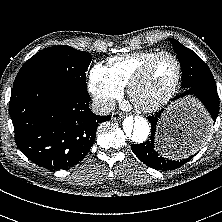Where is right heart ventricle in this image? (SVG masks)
Returning a JSON list of instances; mask_svg holds the SVG:
<instances>
[{
    "label": "right heart ventricle",
    "instance_id": "e07e8e85",
    "mask_svg": "<svg viewBox=\"0 0 222 222\" xmlns=\"http://www.w3.org/2000/svg\"><path fill=\"white\" fill-rule=\"evenodd\" d=\"M158 51L137 52L126 56L114 57L106 67L111 79L122 89L127 88L137 71Z\"/></svg>",
    "mask_w": 222,
    "mask_h": 222
}]
</instances>
